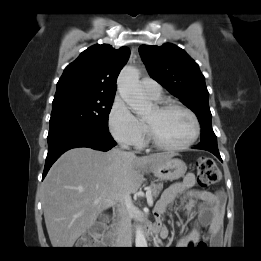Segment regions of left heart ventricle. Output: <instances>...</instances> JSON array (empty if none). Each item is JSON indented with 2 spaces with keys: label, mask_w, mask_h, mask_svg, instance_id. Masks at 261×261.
Wrapping results in <instances>:
<instances>
[{
  "label": "left heart ventricle",
  "mask_w": 261,
  "mask_h": 261,
  "mask_svg": "<svg viewBox=\"0 0 261 261\" xmlns=\"http://www.w3.org/2000/svg\"><path fill=\"white\" fill-rule=\"evenodd\" d=\"M156 137L168 145H179L186 142L193 134L194 125L190 116L180 109L159 112L154 107L144 116Z\"/></svg>",
  "instance_id": "b2bd125f"
}]
</instances>
